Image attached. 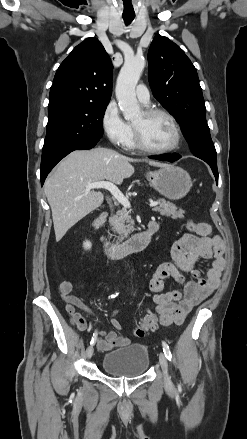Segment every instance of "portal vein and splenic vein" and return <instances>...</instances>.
<instances>
[{
  "instance_id": "18ae733b",
  "label": "portal vein and splenic vein",
  "mask_w": 247,
  "mask_h": 439,
  "mask_svg": "<svg viewBox=\"0 0 247 439\" xmlns=\"http://www.w3.org/2000/svg\"><path fill=\"white\" fill-rule=\"evenodd\" d=\"M100 188L109 190L111 194L118 200V202H120L123 205L124 208L131 207L128 198L125 197L123 193L118 189V187L111 182L101 181V182H95L86 185V190L100 189ZM158 205L159 202H154V201H151L149 204L150 207H156Z\"/></svg>"
}]
</instances>
